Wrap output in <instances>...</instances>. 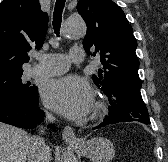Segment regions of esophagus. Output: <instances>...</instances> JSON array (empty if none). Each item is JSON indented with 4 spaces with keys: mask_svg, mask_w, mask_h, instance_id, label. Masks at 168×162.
Segmentation results:
<instances>
[{
    "mask_svg": "<svg viewBox=\"0 0 168 162\" xmlns=\"http://www.w3.org/2000/svg\"><path fill=\"white\" fill-rule=\"evenodd\" d=\"M63 140L68 144H78L80 139L75 136L73 129L70 126H65L62 132Z\"/></svg>",
    "mask_w": 168,
    "mask_h": 162,
    "instance_id": "esophagus-1",
    "label": "esophagus"
}]
</instances>
